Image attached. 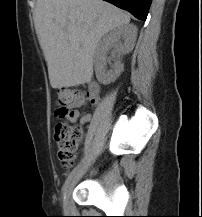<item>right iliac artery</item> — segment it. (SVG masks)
I'll return each mask as SVG.
<instances>
[{"instance_id": "obj_1", "label": "right iliac artery", "mask_w": 202, "mask_h": 217, "mask_svg": "<svg viewBox=\"0 0 202 217\" xmlns=\"http://www.w3.org/2000/svg\"><path fill=\"white\" fill-rule=\"evenodd\" d=\"M78 167H79V166H78ZM78 167H77V168H78ZM77 168L73 169V171H72V172L68 175V177L66 178L65 183H64V185H63V187H62V195H63V196H65L66 189H67V187H68V185H69V183H70V181H71L73 175L75 174Z\"/></svg>"}]
</instances>
